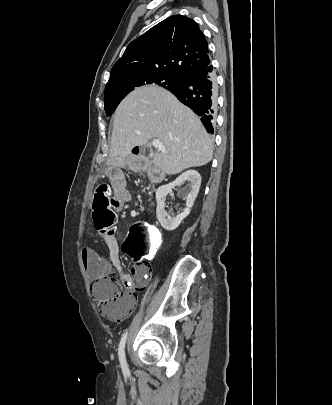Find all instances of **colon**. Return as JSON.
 <instances>
[{
	"mask_svg": "<svg viewBox=\"0 0 332 405\" xmlns=\"http://www.w3.org/2000/svg\"><path fill=\"white\" fill-rule=\"evenodd\" d=\"M111 197V185L100 184L95 190L92 204L94 228L105 236L112 235L114 232L116 214L111 210ZM151 228L154 226L148 221H137L130 226L129 238L123 249L124 256H139L142 260L148 256L146 261L140 262L131 285L110 276H104L94 281L92 294L105 316L116 317L123 314L133 291L144 285V278L150 269L149 263L153 261L151 256L156 255V251L160 250L162 243L160 232L152 231ZM122 286L127 289H123Z\"/></svg>",
	"mask_w": 332,
	"mask_h": 405,
	"instance_id": "colon-1",
	"label": "colon"
}]
</instances>
